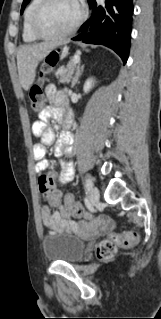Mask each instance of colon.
Instances as JSON below:
<instances>
[{
    "label": "colon",
    "mask_w": 161,
    "mask_h": 319,
    "mask_svg": "<svg viewBox=\"0 0 161 319\" xmlns=\"http://www.w3.org/2000/svg\"><path fill=\"white\" fill-rule=\"evenodd\" d=\"M59 62V55L56 52L50 53L41 66V74L49 72ZM29 97L31 110L33 113L42 112L44 106V95L42 83L36 81L30 86ZM41 195L45 202H50L55 206L62 203L63 196L59 191L52 190L53 177L43 175L40 179ZM67 211L70 216H85L86 210L82 204H67ZM139 242L138 234L135 232L112 233L108 238L102 240L97 246V255L102 259L112 258L119 248H129L137 245Z\"/></svg>",
    "instance_id": "1"
}]
</instances>
